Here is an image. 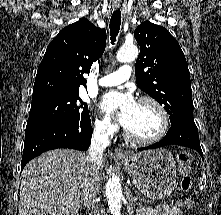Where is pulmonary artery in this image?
<instances>
[{"label": "pulmonary artery", "instance_id": "e3ab8cb5", "mask_svg": "<svg viewBox=\"0 0 221 215\" xmlns=\"http://www.w3.org/2000/svg\"><path fill=\"white\" fill-rule=\"evenodd\" d=\"M132 74V68L128 65L120 67L117 71L101 77L98 80L99 86H115L127 81Z\"/></svg>", "mask_w": 221, "mask_h": 215}]
</instances>
